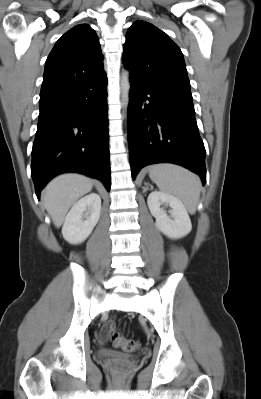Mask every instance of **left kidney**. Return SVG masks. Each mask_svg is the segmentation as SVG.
Masks as SVG:
<instances>
[{
  "mask_svg": "<svg viewBox=\"0 0 261 399\" xmlns=\"http://www.w3.org/2000/svg\"><path fill=\"white\" fill-rule=\"evenodd\" d=\"M147 204L152 216L156 219V228L172 239H179L188 235L192 224L187 210L180 199L175 196L154 191L149 194ZM170 207V216L165 208Z\"/></svg>",
  "mask_w": 261,
  "mask_h": 399,
  "instance_id": "5707ae66",
  "label": "left kidney"
}]
</instances>
